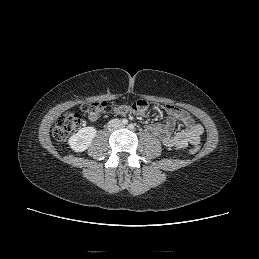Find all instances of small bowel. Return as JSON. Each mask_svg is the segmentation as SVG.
Segmentation results:
<instances>
[{
	"mask_svg": "<svg viewBox=\"0 0 259 259\" xmlns=\"http://www.w3.org/2000/svg\"><path fill=\"white\" fill-rule=\"evenodd\" d=\"M168 121L166 123H153L147 126V130L157 135L166 147L185 148L188 145H198L201 135L203 134V126L197 123L183 109L167 105ZM143 114L145 112H137ZM124 115V114H123ZM179 121L184 129L175 132V123Z\"/></svg>",
	"mask_w": 259,
	"mask_h": 259,
	"instance_id": "small-bowel-1",
	"label": "small bowel"
}]
</instances>
